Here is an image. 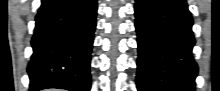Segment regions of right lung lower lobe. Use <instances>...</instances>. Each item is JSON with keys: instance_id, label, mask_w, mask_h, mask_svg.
Returning a JSON list of instances; mask_svg holds the SVG:
<instances>
[{"instance_id": "98d812e1", "label": "right lung lower lobe", "mask_w": 220, "mask_h": 91, "mask_svg": "<svg viewBox=\"0 0 220 91\" xmlns=\"http://www.w3.org/2000/svg\"><path fill=\"white\" fill-rule=\"evenodd\" d=\"M96 0H42L27 67L30 90L89 91Z\"/></svg>"}]
</instances>
